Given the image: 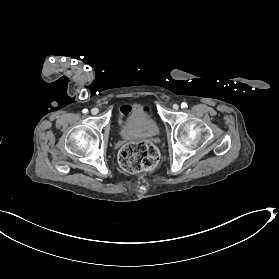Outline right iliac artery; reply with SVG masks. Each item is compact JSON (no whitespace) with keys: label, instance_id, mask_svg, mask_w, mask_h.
Returning a JSON list of instances; mask_svg holds the SVG:
<instances>
[{"label":"right iliac artery","instance_id":"right-iliac-artery-1","mask_svg":"<svg viewBox=\"0 0 279 279\" xmlns=\"http://www.w3.org/2000/svg\"><path fill=\"white\" fill-rule=\"evenodd\" d=\"M82 112H83L84 114H87V113H88V110H87V109H84Z\"/></svg>","mask_w":279,"mask_h":279}]
</instances>
